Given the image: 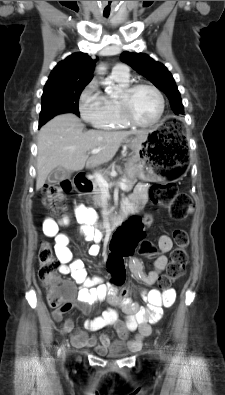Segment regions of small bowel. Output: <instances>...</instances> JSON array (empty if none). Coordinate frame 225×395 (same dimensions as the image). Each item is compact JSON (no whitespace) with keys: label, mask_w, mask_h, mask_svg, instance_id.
Listing matches in <instances>:
<instances>
[{"label":"small bowel","mask_w":225,"mask_h":395,"mask_svg":"<svg viewBox=\"0 0 225 395\" xmlns=\"http://www.w3.org/2000/svg\"><path fill=\"white\" fill-rule=\"evenodd\" d=\"M148 185L145 183L138 184L134 192L123 202V211L127 214H134L138 209L147 202ZM75 218L81 226L87 241L93 244L89 248V254L96 256L100 252L101 235L94 228L97 220L96 212L83 205L75 207ZM68 222L67 218L56 221L52 218H46L42 224V231L46 236L53 237L55 240V252L60 262L59 271L62 274H68L72 280L78 284L79 290L75 298L69 300V308L66 310L55 309L53 317L55 320H61L63 314L73 305H76L83 312H87V307H92L95 303L106 300L110 308L104 310L100 315L84 322L86 331L95 333L107 326H113L121 339L126 340L129 332L138 330V333L128 341V346L132 350H138L142 346L144 338L151 333V324L156 323L162 316L163 308L170 307L174 304L176 294L173 289H151L143 291L142 298L147 302V307H141L132 302L127 297V292L118 293L117 288L112 283H103L100 277L90 278L87 276L84 264L79 259H74L68 247V237L60 232V226ZM144 226L150 225L151 218L146 217L143 220ZM160 254L154 261L153 269L145 272L142 262L137 258L129 261V268L132 274L143 284L153 285L159 278L161 272L165 269L168 258L167 253L173 247L172 240L167 235H162L158 239ZM117 308L125 315L124 321L119 320ZM73 321L67 319L63 323L65 332H72ZM72 342L76 347H91L98 353L104 352L111 344L108 335L102 334L99 338L95 335H88L79 331L72 335Z\"/></svg>","instance_id":"small-bowel-1"}]
</instances>
